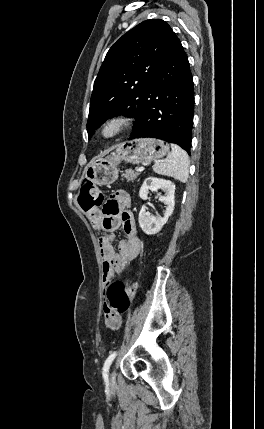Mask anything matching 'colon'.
Returning <instances> with one entry per match:
<instances>
[{
    "label": "colon",
    "mask_w": 264,
    "mask_h": 429,
    "mask_svg": "<svg viewBox=\"0 0 264 429\" xmlns=\"http://www.w3.org/2000/svg\"><path fill=\"white\" fill-rule=\"evenodd\" d=\"M78 201L85 212L99 208L104 202L103 191L90 181L83 182ZM136 292V284L129 279L108 283L106 288V308L108 311L123 314L131 306Z\"/></svg>",
    "instance_id": "1"
}]
</instances>
